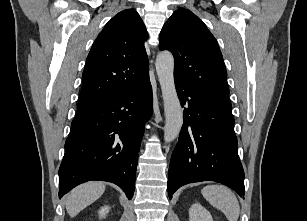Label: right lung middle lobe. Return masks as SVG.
Here are the masks:
<instances>
[{
    "mask_svg": "<svg viewBox=\"0 0 307 221\" xmlns=\"http://www.w3.org/2000/svg\"><path fill=\"white\" fill-rule=\"evenodd\" d=\"M84 110H86V109H77V112L76 113H80V112H82V111H84Z\"/></svg>",
    "mask_w": 307,
    "mask_h": 221,
    "instance_id": "obj_1",
    "label": "right lung middle lobe"
}]
</instances>
